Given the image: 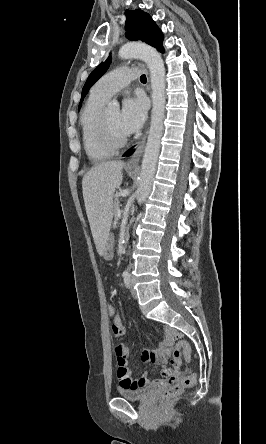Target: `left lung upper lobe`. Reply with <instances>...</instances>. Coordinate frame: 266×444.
I'll return each mask as SVG.
<instances>
[{"mask_svg":"<svg viewBox=\"0 0 266 444\" xmlns=\"http://www.w3.org/2000/svg\"><path fill=\"white\" fill-rule=\"evenodd\" d=\"M126 22H125V33L126 37L132 41L142 40L149 45L157 48L160 52H164L162 41L163 35L159 30L155 22L152 20L148 13L142 10L128 11L126 10ZM111 63V56L107 60L101 63L96 69L89 75L83 89L81 101L78 109L81 108V103L88 93L89 89L94 85V83L101 78L104 73L109 68Z\"/></svg>","mask_w":266,"mask_h":444,"instance_id":"obj_1","label":"left lung upper lobe"}]
</instances>
